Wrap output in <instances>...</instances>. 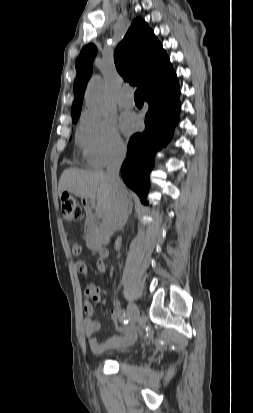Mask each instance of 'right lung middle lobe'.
Here are the masks:
<instances>
[{
    "mask_svg": "<svg viewBox=\"0 0 253 413\" xmlns=\"http://www.w3.org/2000/svg\"><path fill=\"white\" fill-rule=\"evenodd\" d=\"M78 121V118L72 120L73 123H76Z\"/></svg>",
    "mask_w": 253,
    "mask_h": 413,
    "instance_id": "1",
    "label": "right lung middle lobe"
}]
</instances>
